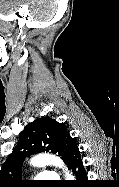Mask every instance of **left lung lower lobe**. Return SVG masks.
Wrapping results in <instances>:
<instances>
[{"label":"left lung lower lobe","instance_id":"left-lung-lower-lobe-1","mask_svg":"<svg viewBox=\"0 0 119 187\" xmlns=\"http://www.w3.org/2000/svg\"><path fill=\"white\" fill-rule=\"evenodd\" d=\"M67 165L69 169H72L74 175L77 178L76 182H84L87 179V174L81 159L78 145H74L71 149Z\"/></svg>","mask_w":119,"mask_h":187}]
</instances>
